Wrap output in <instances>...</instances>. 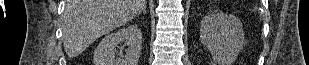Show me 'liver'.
Returning <instances> with one entry per match:
<instances>
[{
	"label": "liver",
	"mask_w": 309,
	"mask_h": 65,
	"mask_svg": "<svg viewBox=\"0 0 309 65\" xmlns=\"http://www.w3.org/2000/svg\"><path fill=\"white\" fill-rule=\"evenodd\" d=\"M146 0H66L63 46L68 57L83 52L99 37L137 17Z\"/></svg>",
	"instance_id": "liver-1"
}]
</instances>
